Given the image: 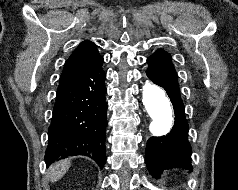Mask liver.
I'll return each mask as SVG.
<instances>
[{
  "instance_id": "liver-1",
  "label": "liver",
  "mask_w": 238,
  "mask_h": 190,
  "mask_svg": "<svg viewBox=\"0 0 238 190\" xmlns=\"http://www.w3.org/2000/svg\"><path fill=\"white\" fill-rule=\"evenodd\" d=\"M71 163L69 159L61 160L53 164L49 169V178L52 183L61 179L69 169Z\"/></svg>"
}]
</instances>
